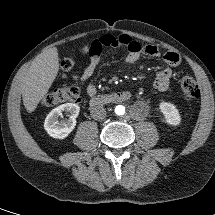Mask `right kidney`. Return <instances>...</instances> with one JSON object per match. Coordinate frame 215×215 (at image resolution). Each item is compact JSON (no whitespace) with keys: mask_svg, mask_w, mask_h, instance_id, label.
Returning a JSON list of instances; mask_svg holds the SVG:
<instances>
[{"mask_svg":"<svg viewBox=\"0 0 215 215\" xmlns=\"http://www.w3.org/2000/svg\"><path fill=\"white\" fill-rule=\"evenodd\" d=\"M63 112H68V118L59 121ZM80 107L77 104L65 103L53 109L46 117L44 128L53 138L64 139L76 126V117L79 115Z\"/></svg>","mask_w":215,"mask_h":215,"instance_id":"obj_1","label":"right kidney"}]
</instances>
